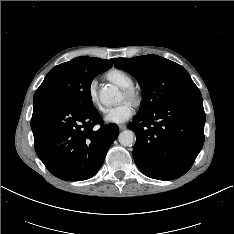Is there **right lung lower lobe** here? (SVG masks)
I'll return each instance as SVG.
<instances>
[{"label":"right lung lower lobe","instance_id":"98d812e1","mask_svg":"<svg viewBox=\"0 0 234 234\" xmlns=\"http://www.w3.org/2000/svg\"><path fill=\"white\" fill-rule=\"evenodd\" d=\"M102 122L94 107L82 109L59 100L34 102L31 128L38 157L62 180L91 178L119 134L116 124ZM97 124L101 126L95 130Z\"/></svg>","mask_w":234,"mask_h":234}]
</instances>
